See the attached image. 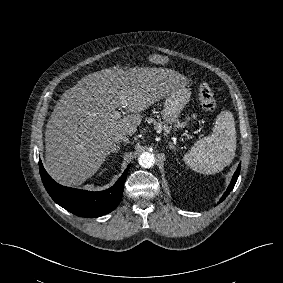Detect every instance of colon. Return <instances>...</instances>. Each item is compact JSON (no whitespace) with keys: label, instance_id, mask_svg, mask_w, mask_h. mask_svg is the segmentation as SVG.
Listing matches in <instances>:
<instances>
[{"label":"colon","instance_id":"colon-1","mask_svg":"<svg viewBox=\"0 0 283 283\" xmlns=\"http://www.w3.org/2000/svg\"><path fill=\"white\" fill-rule=\"evenodd\" d=\"M148 60L151 63L159 64V65H163L167 63V58L160 54H151L149 55ZM198 94L203 109L208 112L215 111L217 107V103L214 98L213 91L207 83H201L199 85Z\"/></svg>","mask_w":283,"mask_h":283}]
</instances>
